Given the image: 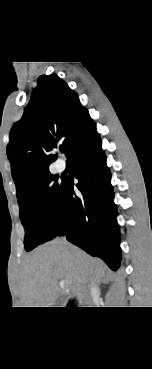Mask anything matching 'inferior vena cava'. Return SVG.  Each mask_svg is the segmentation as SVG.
Masks as SVG:
<instances>
[{"mask_svg": "<svg viewBox=\"0 0 152 369\" xmlns=\"http://www.w3.org/2000/svg\"><path fill=\"white\" fill-rule=\"evenodd\" d=\"M84 293L86 295V298L88 300H91L92 295L98 293L97 284L95 282H92L91 284H89Z\"/></svg>", "mask_w": 152, "mask_h": 369, "instance_id": "inferior-vena-cava-1", "label": "inferior vena cava"}]
</instances>
